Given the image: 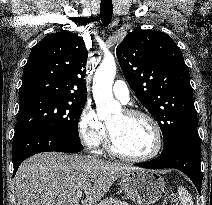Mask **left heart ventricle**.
Instances as JSON below:
<instances>
[{
  "mask_svg": "<svg viewBox=\"0 0 212 205\" xmlns=\"http://www.w3.org/2000/svg\"><path fill=\"white\" fill-rule=\"evenodd\" d=\"M115 146L123 153L138 156L153 146V133L148 122L140 117H129L123 112L108 121Z\"/></svg>",
  "mask_w": 212,
  "mask_h": 205,
  "instance_id": "obj_1",
  "label": "left heart ventricle"
}]
</instances>
